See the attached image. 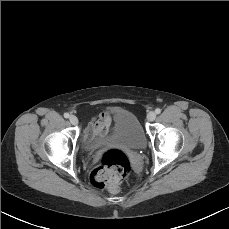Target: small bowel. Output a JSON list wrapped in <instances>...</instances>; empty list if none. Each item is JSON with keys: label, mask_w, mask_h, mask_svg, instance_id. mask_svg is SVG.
Segmentation results:
<instances>
[{"label": "small bowel", "mask_w": 229, "mask_h": 229, "mask_svg": "<svg viewBox=\"0 0 229 229\" xmlns=\"http://www.w3.org/2000/svg\"><path fill=\"white\" fill-rule=\"evenodd\" d=\"M112 127V117L108 111L101 112L96 119L88 124L84 131V139L97 135H107Z\"/></svg>", "instance_id": "obj_1"}]
</instances>
